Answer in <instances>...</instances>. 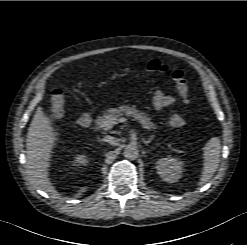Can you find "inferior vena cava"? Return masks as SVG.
I'll return each mask as SVG.
<instances>
[{"mask_svg": "<svg viewBox=\"0 0 247 245\" xmlns=\"http://www.w3.org/2000/svg\"><path fill=\"white\" fill-rule=\"evenodd\" d=\"M103 140L111 145H115L118 142V139L115 137H112L110 135H107L103 138Z\"/></svg>", "mask_w": 247, "mask_h": 245, "instance_id": "602c4592", "label": "inferior vena cava"}]
</instances>
